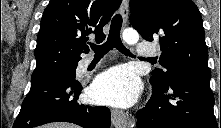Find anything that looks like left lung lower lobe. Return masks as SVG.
Returning a JSON list of instances; mask_svg holds the SVG:
<instances>
[{"label":"left lung lower lobe","instance_id":"0a47b994","mask_svg":"<svg viewBox=\"0 0 221 128\" xmlns=\"http://www.w3.org/2000/svg\"><path fill=\"white\" fill-rule=\"evenodd\" d=\"M152 89L149 102L137 112V128H221L213 112L210 78L179 74Z\"/></svg>","mask_w":221,"mask_h":128}]
</instances>
